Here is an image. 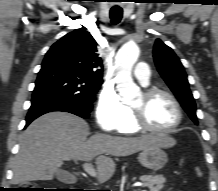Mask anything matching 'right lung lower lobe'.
Instances as JSON below:
<instances>
[{
	"label": "right lung lower lobe",
	"instance_id": "right-lung-lower-lobe-1",
	"mask_svg": "<svg viewBox=\"0 0 218 191\" xmlns=\"http://www.w3.org/2000/svg\"><path fill=\"white\" fill-rule=\"evenodd\" d=\"M91 109L92 106L85 107L59 96L42 95L32 99V104L26 117V126L34 119L48 112L63 111L87 118Z\"/></svg>",
	"mask_w": 218,
	"mask_h": 191
}]
</instances>
